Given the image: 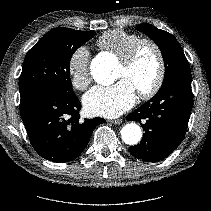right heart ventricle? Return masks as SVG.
<instances>
[{
  "instance_id": "right-heart-ventricle-1",
  "label": "right heart ventricle",
  "mask_w": 211,
  "mask_h": 211,
  "mask_svg": "<svg viewBox=\"0 0 211 211\" xmlns=\"http://www.w3.org/2000/svg\"><path fill=\"white\" fill-rule=\"evenodd\" d=\"M139 39L140 36L135 33L115 29L102 34L97 40V45L121 59Z\"/></svg>"
}]
</instances>
